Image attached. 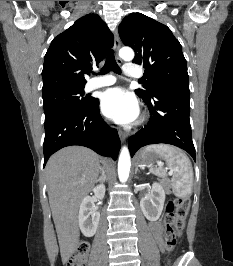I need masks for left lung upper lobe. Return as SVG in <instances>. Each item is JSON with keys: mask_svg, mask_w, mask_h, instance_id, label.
<instances>
[{"mask_svg": "<svg viewBox=\"0 0 233 266\" xmlns=\"http://www.w3.org/2000/svg\"><path fill=\"white\" fill-rule=\"evenodd\" d=\"M118 30L123 43L135 51L132 62L145 68V90H136L142 99L150 100L165 89L189 87L182 47L167 26L141 13H132L123 19Z\"/></svg>", "mask_w": 233, "mask_h": 266, "instance_id": "obj_1", "label": "left lung upper lobe"}]
</instances>
